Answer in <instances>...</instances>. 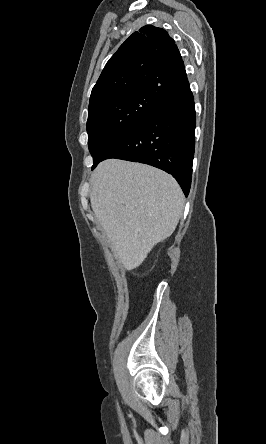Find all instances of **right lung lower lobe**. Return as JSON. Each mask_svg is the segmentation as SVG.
Returning a JSON list of instances; mask_svg holds the SVG:
<instances>
[{
	"label": "right lung lower lobe",
	"mask_w": 266,
	"mask_h": 444,
	"mask_svg": "<svg viewBox=\"0 0 266 444\" xmlns=\"http://www.w3.org/2000/svg\"><path fill=\"white\" fill-rule=\"evenodd\" d=\"M195 125L194 99L188 87L162 100L138 126L114 143L101 161L118 158L162 169L177 180L188 196Z\"/></svg>",
	"instance_id": "right-lung-lower-lobe-1"
}]
</instances>
